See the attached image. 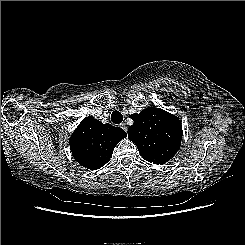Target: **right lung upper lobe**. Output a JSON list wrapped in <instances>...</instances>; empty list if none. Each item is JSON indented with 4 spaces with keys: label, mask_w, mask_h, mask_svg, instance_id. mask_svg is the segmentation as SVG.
Returning a JSON list of instances; mask_svg holds the SVG:
<instances>
[{
    "label": "right lung upper lobe",
    "mask_w": 245,
    "mask_h": 245,
    "mask_svg": "<svg viewBox=\"0 0 245 245\" xmlns=\"http://www.w3.org/2000/svg\"><path fill=\"white\" fill-rule=\"evenodd\" d=\"M124 137L126 132L123 129L88 116L75 129L69 144L75 160L95 170L110 160L115 146Z\"/></svg>",
    "instance_id": "obj_1"
}]
</instances>
